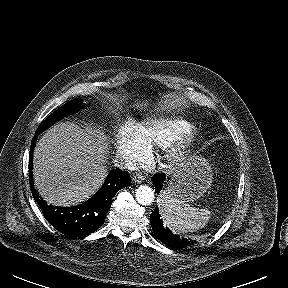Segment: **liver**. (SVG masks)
<instances>
[{
	"label": "liver",
	"instance_id": "6515ba94",
	"mask_svg": "<svg viewBox=\"0 0 288 288\" xmlns=\"http://www.w3.org/2000/svg\"><path fill=\"white\" fill-rule=\"evenodd\" d=\"M145 103H137L143 108ZM106 137L100 130H84L71 122L50 128L33 156L34 185L49 204L77 205L101 187L107 176Z\"/></svg>",
	"mask_w": 288,
	"mask_h": 288
}]
</instances>
